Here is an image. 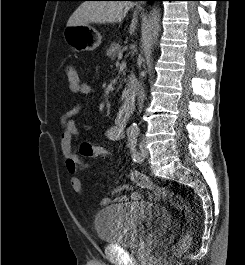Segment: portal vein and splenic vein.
Returning <instances> with one entry per match:
<instances>
[{"instance_id": "1", "label": "portal vein and splenic vein", "mask_w": 245, "mask_h": 265, "mask_svg": "<svg viewBox=\"0 0 245 265\" xmlns=\"http://www.w3.org/2000/svg\"><path fill=\"white\" fill-rule=\"evenodd\" d=\"M122 56H123V54L122 53H119L118 54V59L121 60L122 59Z\"/></svg>"}]
</instances>
